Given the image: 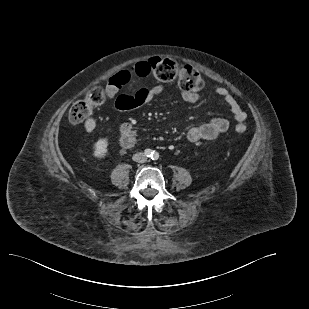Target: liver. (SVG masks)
<instances>
[{
    "label": "liver",
    "mask_w": 309,
    "mask_h": 309,
    "mask_svg": "<svg viewBox=\"0 0 309 309\" xmlns=\"http://www.w3.org/2000/svg\"><path fill=\"white\" fill-rule=\"evenodd\" d=\"M85 128L87 132H91L95 128V121L93 119H88L85 122Z\"/></svg>",
    "instance_id": "liver-1"
}]
</instances>
